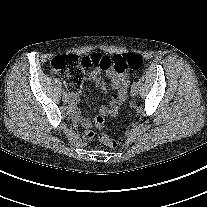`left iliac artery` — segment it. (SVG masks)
Returning <instances> with one entry per match:
<instances>
[{
  "instance_id": "44dca946",
  "label": "left iliac artery",
  "mask_w": 207,
  "mask_h": 207,
  "mask_svg": "<svg viewBox=\"0 0 207 207\" xmlns=\"http://www.w3.org/2000/svg\"><path fill=\"white\" fill-rule=\"evenodd\" d=\"M138 86V83L137 82H134L133 84H132V87H137Z\"/></svg>"
}]
</instances>
